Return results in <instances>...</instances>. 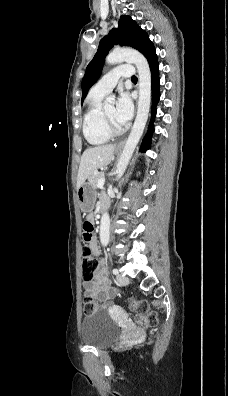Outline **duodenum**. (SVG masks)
<instances>
[{
  "label": "duodenum",
  "instance_id": "410a0bca",
  "mask_svg": "<svg viewBox=\"0 0 228 396\" xmlns=\"http://www.w3.org/2000/svg\"><path fill=\"white\" fill-rule=\"evenodd\" d=\"M106 207H107V204H106V203H101V204H100V209H101V210L105 209Z\"/></svg>",
  "mask_w": 228,
  "mask_h": 396
}]
</instances>
